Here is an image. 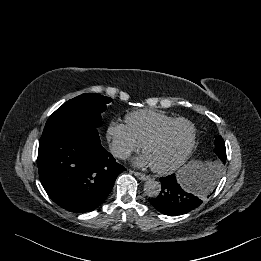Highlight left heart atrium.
<instances>
[{
    "mask_svg": "<svg viewBox=\"0 0 261 261\" xmlns=\"http://www.w3.org/2000/svg\"><path fill=\"white\" fill-rule=\"evenodd\" d=\"M135 163L138 165V166H144V165H151V162L148 158V156L146 154H144L143 156L137 158L135 160Z\"/></svg>",
    "mask_w": 261,
    "mask_h": 261,
    "instance_id": "left-heart-atrium-1",
    "label": "left heart atrium"
}]
</instances>
